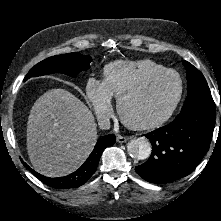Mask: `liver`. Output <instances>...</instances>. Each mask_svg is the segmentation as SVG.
<instances>
[{
	"mask_svg": "<svg viewBox=\"0 0 221 221\" xmlns=\"http://www.w3.org/2000/svg\"><path fill=\"white\" fill-rule=\"evenodd\" d=\"M96 141L92 112L69 91L48 90L34 103L27 122V150L38 173L61 177L74 172Z\"/></svg>",
	"mask_w": 221,
	"mask_h": 221,
	"instance_id": "1",
	"label": "liver"
}]
</instances>
